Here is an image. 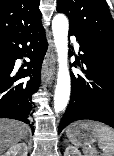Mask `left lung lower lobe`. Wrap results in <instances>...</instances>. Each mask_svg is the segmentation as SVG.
<instances>
[{"mask_svg": "<svg viewBox=\"0 0 114 156\" xmlns=\"http://www.w3.org/2000/svg\"><path fill=\"white\" fill-rule=\"evenodd\" d=\"M74 35L79 44L84 76L72 75L70 102L60 121L58 133L76 120L89 119L114 128V56L88 40ZM73 63L72 66L76 67Z\"/></svg>", "mask_w": 114, "mask_h": 156, "instance_id": "left-lung-lower-lobe-1", "label": "left lung lower lobe"}]
</instances>
